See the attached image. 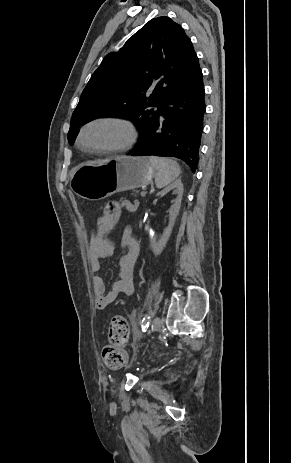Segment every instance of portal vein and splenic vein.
Returning a JSON list of instances; mask_svg holds the SVG:
<instances>
[{"instance_id":"obj_1","label":"portal vein and splenic vein","mask_w":291,"mask_h":463,"mask_svg":"<svg viewBox=\"0 0 291 463\" xmlns=\"http://www.w3.org/2000/svg\"><path fill=\"white\" fill-rule=\"evenodd\" d=\"M141 196H142V197H145V196H146V192L142 191V192H141Z\"/></svg>"}]
</instances>
